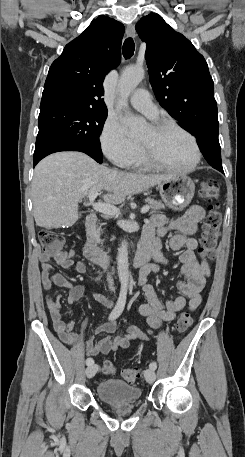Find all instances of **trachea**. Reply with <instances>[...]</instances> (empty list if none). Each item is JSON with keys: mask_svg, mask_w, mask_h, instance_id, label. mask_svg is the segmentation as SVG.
Instances as JSON below:
<instances>
[{"mask_svg": "<svg viewBox=\"0 0 245 457\" xmlns=\"http://www.w3.org/2000/svg\"><path fill=\"white\" fill-rule=\"evenodd\" d=\"M134 42L132 38H127L123 44V55L125 58H131L134 53Z\"/></svg>", "mask_w": 245, "mask_h": 457, "instance_id": "obj_1", "label": "trachea"}]
</instances>
